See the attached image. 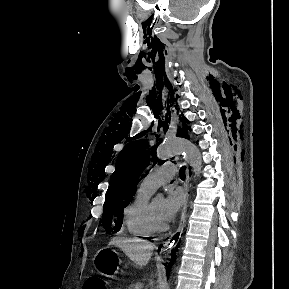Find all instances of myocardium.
I'll return each instance as SVG.
<instances>
[{
	"label": "myocardium",
	"mask_w": 289,
	"mask_h": 289,
	"mask_svg": "<svg viewBox=\"0 0 289 289\" xmlns=\"http://www.w3.org/2000/svg\"><path fill=\"white\" fill-rule=\"evenodd\" d=\"M148 218L155 232H165L168 230L169 226L167 223H160L157 220L152 209V202L148 204Z\"/></svg>",
	"instance_id": "f54148a6"
}]
</instances>
